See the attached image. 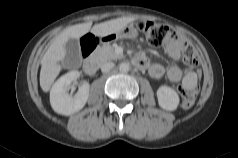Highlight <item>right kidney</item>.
Segmentation results:
<instances>
[{"label":"right kidney","instance_id":"1","mask_svg":"<svg viewBox=\"0 0 238 158\" xmlns=\"http://www.w3.org/2000/svg\"><path fill=\"white\" fill-rule=\"evenodd\" d=\"M79 76L80 73L78 71L68 72L60 77L52 86L50 103L56 113L69 116L80 111L85 106L89 97V83L81 85L73 97L67 92V88Z\"/></svg>","mask_w":238,"mask_h":158}]
</instances>
